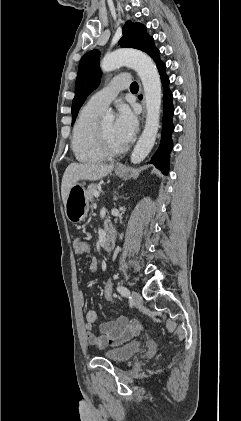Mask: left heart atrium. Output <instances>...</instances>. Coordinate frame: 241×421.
<instances>
[{
  "label": "left heart atrium",
  "instance_id": "1",
  "mask_svg": "<svg viewBox=\"0 0 241 421\" xmlns=\"http://www.w3.org/2000/svg\"><path fill=\"white\" fill-rule=\"evenodd\" d=\"M138 127L135 113L129 106L121 104L118 107L114 130L117 139L124 145L132 140Z\"/></svg>",
  "mask_w": 241,
  "mask_h": 421
}]
</instances>
